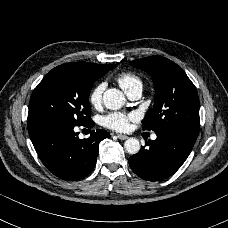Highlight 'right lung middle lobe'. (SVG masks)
<instances>
[{
    "label": "right lung middle lobe",
    "instance_id": "dd1d6c3e",
    "mask_svg": "<svg viewBox=\"0 0 228 228\" xmlns=\"http://www.w3.org/2000/svg\"><path fill=\"white\" fill-rule=\"evenodd\" d=\"M116 67L66 63L49 71L32 93L27 124L62 120L82 126L90 123L89 94L93 83Z\"/></svg>",
    "mask_w": 228,
    "mask_h": 228
}]
</instances>
